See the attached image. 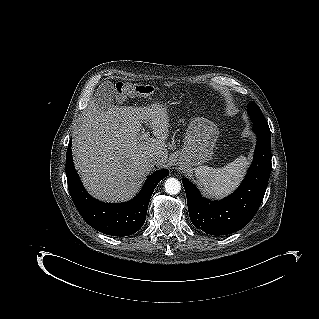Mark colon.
Here are the masks:
<instances>
[{"label":"colon","mask_w":319,"mask_h":319,"mask_svg":"<svg viewBox=\"0 0 319 319\" xmlns=\"http://www.w3.org/2000/svg\"><path fill=\"white\" fill-rule=\"evenodd\" d=\"M116 93L119 101H123L130 96L149 97L154 93V88L149 84L120 82L116 84Z\"/></svg>","instance_id":"obj_1"}]
</instances>
